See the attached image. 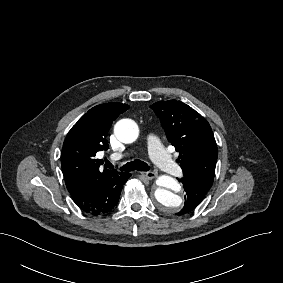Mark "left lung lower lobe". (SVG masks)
<instances>
[{
    "instance_id": "1",
    "label": "left lung lower lobe",
    "mask_w": 283,
    "mask_h": 283,
    "mask_svg": "<svg viewBox=\"0 0 283 283\" xmlns=\"http://www.w3.org/2000/svg\"><path fill=\"white\" fill-rule=\"evenodd\" d=\"M186 191L185 204L178 215L191 213L204 199L213 182L197 176H184L180 179Z\"/></svg>"
}]
</instances>
